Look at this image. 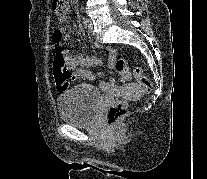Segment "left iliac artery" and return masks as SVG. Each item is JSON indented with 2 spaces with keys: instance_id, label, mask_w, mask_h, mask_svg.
<instances>
[{
  "instance_id": "left-iliac-artery-1",
  "label": "left iliac artery",
  "mask_w": 207,
  "mask_h": 179,
  "mask_svg": "<svg viewBox=\"0 0 207 179\" xmlns=\"http://www.w3.org/2000/svg\"><path fill=\"white\" fill-rule=\"evenodd\" d=\"M82 19H83V24H84L85 26H87V23H88V22H87V19L84 18V17H83Z\"/></svg>"
}]
</instances>
